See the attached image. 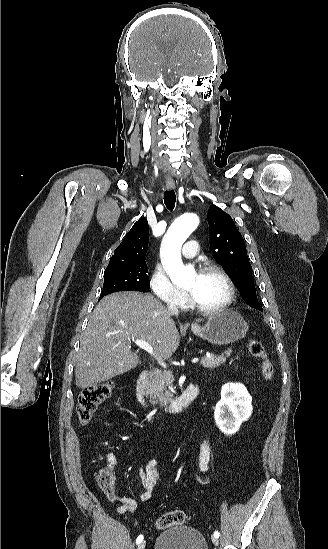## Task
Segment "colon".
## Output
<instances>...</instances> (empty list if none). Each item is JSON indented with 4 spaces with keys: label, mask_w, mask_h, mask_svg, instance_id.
Masks as SVG:
<instances>
[{
    "label": "colon",
    "mask_w": 328,
    "mask_h": 549,
    "mask_svg": "<svg viewBox=\"0 0 328 549\" xmlns=\"http://www.w3.org/2000/svg\"><path fill=\"white\" fill-rule=\"evenodd\" d=\"M248 350L250 354L261 360V373L266 381H269L274 376V366L270 362L263 344L255 339L248 341ZM114 390L112 381H105L94 384L85 388L79 395L77 404V414L79 422L82 425H87L101 402L111 396ZM97 484L104 495L110 498L113 495V479L111 473L107 469H101L97 473ZM190 520V516L183 510H172L156 521V527L160 530L169 527L182 525Z\"/></svg>",
    "instance_id": "1"
}]
</instances>
